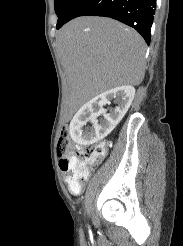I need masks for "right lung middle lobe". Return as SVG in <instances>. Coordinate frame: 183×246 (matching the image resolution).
<instances>
[{
  "instance_id": "right-lung-middle-lobe-1",
  "label": "right lung middle lobe",
  "mask_w": 183,
  "mask_h": 246,
  "mask_svg": "<svg viewBox=\"0 0 183 246\" xmlns=\"http://www.w3.org/2000/svg\"><path fill=\"white\" fill-rule=\"evenodd\" d=\"M78 1L79 0H54L55 12L58 16L57 24L62 23L69 17Z\"/></svg>"
}]
</instances>
